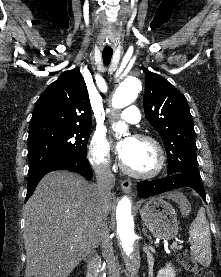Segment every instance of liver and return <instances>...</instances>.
<instances>
[{
    "label": "liver",
    "instance_id": "obj_1",
    "mask_svg": "<svg viewBox=\"0 0 221 277\" xmlns=\"http://www.w3.org/2000/svg\"><path fill=\"white\" fill-rule=\"evenodd\" d=\"M178 203L183 195H166ZM113 207L107 201V215ZM25 277H68L101 242L97 186L68 171L45 175L25 205Z\"/></svg>",
    "mask_w": 221,
    "mask_h": 277
}]
</instances>
